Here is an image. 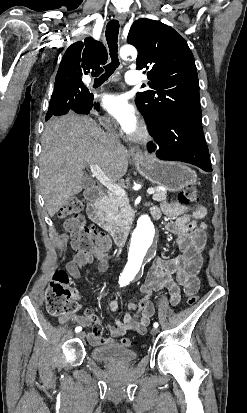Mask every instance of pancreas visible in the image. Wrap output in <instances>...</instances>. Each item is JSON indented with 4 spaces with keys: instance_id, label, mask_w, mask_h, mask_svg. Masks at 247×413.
<instances>
[{
    "instance_id": "cf45deb5",
    "label": "pancreas",
    "mask_w": 247,
    "mask_h": 413,
    "mask_svg": "<svg viewBox=\"0 0 247 413\" xmlns=\"http://www.w3.org/2000/svg\"><path fill=\"white\" fill-rule=\"evenodd\" d=\"M165 190H157L153 194L154 200H166ZM107 207L104 211L103 221H106L109 231L113 233L116 231L117 227L127 223V211L129 209V202L127 196H120V194H112V192H107L106 194Z\"/></svg>"
}]
</instances>
